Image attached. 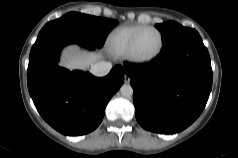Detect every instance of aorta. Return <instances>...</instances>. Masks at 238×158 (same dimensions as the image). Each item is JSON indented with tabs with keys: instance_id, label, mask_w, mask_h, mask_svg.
I'll list each match as a JSON object with an SVG mask.
<instances>
[{
	"instance_id": "762f6f07",
	"label": "aorta",
	"mask_w": 238,
	"mask_h": 158,
	"mask_svg": "<svg viewBox=\"0 0 238 158\" xmlns=\"http://www.w3.org/2000/svg\"><path fill=\"white\" fill-rule=\"evenodd\" d=\"M120 92L123 96L128 97V96H131L133 94V89H132L131 85L124 84V85L121 86Z\"/></svg>"
}]
</instances>
